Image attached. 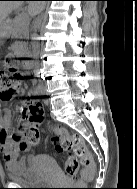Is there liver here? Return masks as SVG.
Instances as JSON below:
<instances>
[{
  "label": "liver",
  "instance_id": "6515ba94",
  "mask_svg": "<svg viewBox=\"0 0 137 189\" xmlns=\"http://www.w3.org/2000/svg\"><path fill=\"white\" fill-rule=\"evenodd\" d=\"M21 3L22 1H0V25L12 12V10L18 8ZM29 6L30 10H35L34 13L43 8V4L35 2H30Z\"/></svg>",
  "mask_w": 137,
  "mask_h": 189
}]
</instances>
